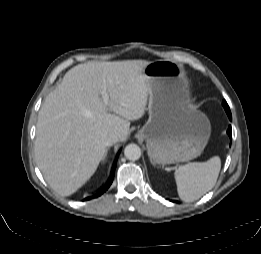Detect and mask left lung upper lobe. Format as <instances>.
I'll return each instance as SVG.
<instances>
[{
    "label": "left lung upper lobe",
    "instance_id": "1",
    "mask_svg": "<svg viewBox=\"0 0 261 254\" xmlns=\"http://www.w3.org/2000/svg\"><path fill=\"white\" fill-rule=\"evenodd\" d=\"M222 105H223V107H224L226 112L230 111V108H229V106H228V104H227V102L225 100H223Z\"/></svg>",
    "mask_w": 261,
    "mask_h": 254
}]
</instances>
